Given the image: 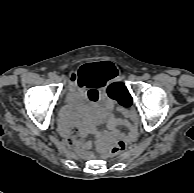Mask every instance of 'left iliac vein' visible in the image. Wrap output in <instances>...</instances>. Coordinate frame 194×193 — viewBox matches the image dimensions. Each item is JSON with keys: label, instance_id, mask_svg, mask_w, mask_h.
I'll list each match as a JSON object with an SVG mask.
<instances>
[{"label": "left iliac vein", "instance_id": "obj_1", "mask_svg": "<svg viewBox=\"0 0 194 193\" xmlns=\"http://www.w3.org/2000/svg\"><path fill=\"white\" fill-rule=\"evenodd\" d=\"M137 79H138V80H143V79H144V77H138Z\"/></svg>", "mask_w": 194, "mask_h": 193}]
</instances>
